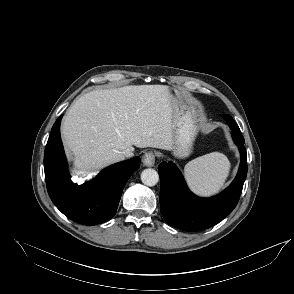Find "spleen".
Wrapping results in <instances>:
<instances>
[{"label": "spleen", "mask_w": 294, "mask_h": 294, "mask_svg": "<svg viewBox=\"0 0 294 294\" xmlns=\"http://www.w3.org/2000/svg\"><path fill=\"white\" fill-rule=\"evenodd\" d=\"M229 170L230 163L227 157L222 153L212 152L188 162L184 174L195 193L210 195L222 188Z\"/></svg>", "instance_id": "3e777b00"}]
</instances>
